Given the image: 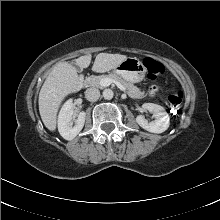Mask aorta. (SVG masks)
Returning <instances> with one entry per match:
<instances>
[{
  "mask_svg": "<svg viewBox=\"0 0 220 220\" xmlns=\"http://www.w3.org/2000/svg\"><path fill=\"white\" fill-rule=\"evenodd\" d=\"M114 96V93L111 89H105L103 91V97L104 99H107V100H111Z\"/></svg>",
  "mask_w": 220,
  "mask_h": 220,
  "instance_id": "762f6f07",
  "label": "aorta"
}]
</instances>
